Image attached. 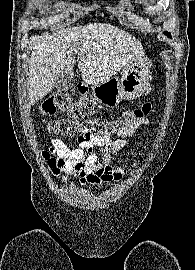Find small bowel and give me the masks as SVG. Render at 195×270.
<instances>
[{
	"label": "small bowel",
	"mask_w": 195,
	"mask_h": 270,
	"mask_svg": "<svg viewBox=\"0 0 195 270\" xmlns=\"http://www.w3.org/2000/svg\"><path fill=\"white\" fill-rule=\"evenodd\" d=\"M147 116L137 119L134 123L114 134L118 137L113 140L111 134L99 136L96 134H81L77 136L78 147L71 149L60 139L51 140L52 149L59 156V166L68 175H77L80 184L101 186L105 182L119 180L130 168L114 169L111 165L112 155L127 145L128 138L142 126H150ZM104 147L102 162H97L94 147ZM87 154V155H86Z\"/></svg>",
	"instance_id": "1"
}]
</instances>
